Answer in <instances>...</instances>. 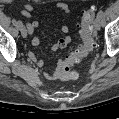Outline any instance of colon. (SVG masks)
<instances>
[{"mask_svg":"<svg viewBox=\"0 0 119 119\" xmlns=\"http://www.w3.org/2000/svg\"><path fill=\"white\" fill-rule=\"evenodd\" d=\"M95 12L96 8L94 6L83 12L79 25V37L82 40V44L76 48H71L67 57L61 61L59 68V78L61 80H75L79 77V74L71 70V68L85 58L94 46L92 23Z\"/></svg>","mask_w":119,"mask_h":119,"instance_id":"5ec220e1","label":"colon"}]
</instances>
